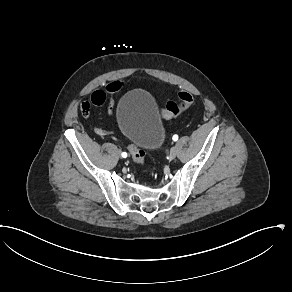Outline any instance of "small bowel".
<instances>
[{
    "instance_id": "c3829d8e",
    "label": "small bowel",
    "mask_w": 292,
    "mask_h": 292,
    "mask_svg": "<svg viewBox=\"0 0 292 292\" xmlns=\"http://www.w3.org/2000/svg\"><path fill=\"white\" fill-rule=\"evenodd\" d=\"M124 87V83L123 82H120V81H115L114 83L113 82H110V83H107L106 85H105V92L106 93H109L108 94V97H109V99H108V106H107V111L105 112V115L107 116V117H110L111 115H112V110L114 109V104H115V99H114V97H115V94L113 93V92H118V91H121L122 90V88Z\"/></svg>"
}]
</instances>
